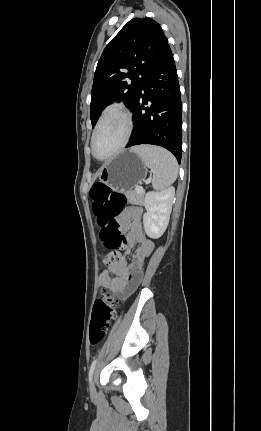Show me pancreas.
Here are the masks:
<instances>
[{
  "instance_id": "obj_1",
  "label": "pancreas",
  "mask_w": 261,
  "mask_h": 431,
  "mask_svg": "<svg viewBox=\"0 0 261 431\" xmlns=\"http://www.w3.org/2000/svg\"><path fill=\"white\" fill-rule=\"evenodd\" d=\"M145 192H137V189L126 192L128 202L135 205H142Z\"/></svg>"
}]
</instances>
